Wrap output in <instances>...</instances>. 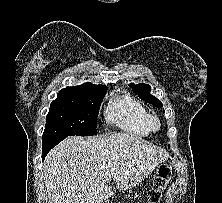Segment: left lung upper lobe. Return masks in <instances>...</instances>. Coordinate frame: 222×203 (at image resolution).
Here are the masks:
<instances>
[{
  "label": "left lung upper lobe",
  "instance_id": "5c2ea615",
  "mask_svg": "<svg viewBox=\"0 0 222 203\" xmlns=\"http://www.w3.org/2000/svg\"><path fill=\"white\" fill-rule=\"evenodd\" d=\"M130 86L133 88V91L138 94V96L153 105H155L158 108H161L163 105L162 103L154 96L150 95L151 87L149 85H146L144 83H140L135 85L134 83H131Z\"/></svg>",
  "mask_w": 222,
  "mask_h": 203
}]
</instances>
